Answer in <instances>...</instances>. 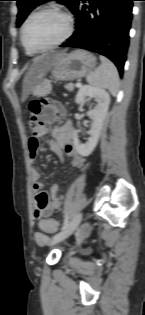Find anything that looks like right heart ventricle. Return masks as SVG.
I'll return each mask as SVG.
<instances>
[{
    "mask_svg": "<svg viewBox=\"0 0 145 315\" xmlns=\"http://www.w3.org/2000/svg\"><path fill=\"white\" fill-rule=\"evenodd\" d=\"M25 50H26V53L28 54V55H34L36 52H33V51H30V50H28V49H26L25 48Z\"/></svg>",
    "mask_w": 145,
    "mask_h": 315,
    "instance_id": "obj_1",
    "label": "right heart ventricle"
}]
</instances>
